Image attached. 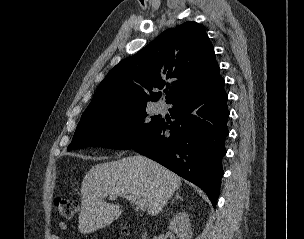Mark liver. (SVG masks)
I'll list each match as a JSON object with an SVG mask.
<instances>
[{
  "instance_id": "1",
  "label": "liver",
  "mask_w": 304,
  "mask_h": 239,
  "mask_svg": "<svg viewBox=\"0 0 304 239\" xmlns=\"http://www.w3.org/2000/svg\"><path fill=\"white\" fill-rule=\"evenodd\" d=\"M181 178L140 155L93 166L81 185L79 231L92 233L110 225L122 213L119 204L105 201L108 195H135L146 200L149 214L157 215L180 187Z\"/></svg>"
}]
</instances>
